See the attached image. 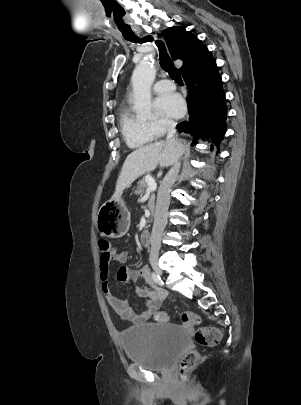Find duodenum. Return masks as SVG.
<instances>
[{
	"mask_svg": "<svg viewBox=\"0 0 301 405\" xmlns=\"http://www.w3.org/2000/svg\"><path fill=\"white\" fill-rule=\"evenodd\" d=\"M141 242L144 246H150L151 245V234L149 231H143L141 233Z\"/></svg>",
	"mask_w": 301,
	"mask_h": 405,
	"instance_id": "obj_1",
	"label": "duodenum"
}]
</instances>
